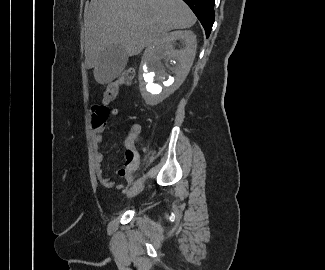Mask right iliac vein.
Masks as SVG:
<instances>
[{
	"label": "right iliac vein",
	"instance_id": "obj_1",
	"mask_svg": "<svg viewBox=\"0 0 325 270\" xmlns=\"http://www.w3.org/2000/svg\"><path fill=\"white\" fill-rule=\"evenodd\" d=\"M143 188H144L143 183H140L138 185H135V186L131 187L129 189V191L127 192V197L132 198V197L138 195L143 190Z\"/></svg>",
	"mask_w": 325,
	"mask_h": 270
}]
</instances>
